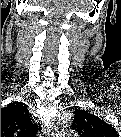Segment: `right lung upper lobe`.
Segmentation results:
<instances>
[{"label":"right lung upper lobe","instance_id":"1","mask_svg":"<svg viewBox=\"0 0 121 137\" xmlns=\"http://www.w3.org/2000/svg\"><path fill=\"white\" fill-rule=\"evenodd\" d=\"M26 106L13 102L1 109L2 135H30L36 130Z\"/></svg>","mask_w":121,"mask_h":137}]
</instances>
